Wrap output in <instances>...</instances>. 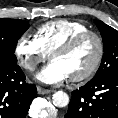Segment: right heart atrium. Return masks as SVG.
I'll list each match as a JSON object with an SVG mask.
<instances>
[{
  "instance_id": "1",
  "label": "right heart atrium",
  "mask_w": 118,
  "mask_h": 118,
  "mask_svg": "<svg viewBox=\"0 0 118 118\" xmlns=\"http://www.w3.org/2000/svg\"><path fill=\"white\" fill-rule=\"evenodd\" d=\"M15 55L20 65L26 70L33 71L48 58L35 37L22 35L15 46Z\"/></svg>"
}]
</instances>
